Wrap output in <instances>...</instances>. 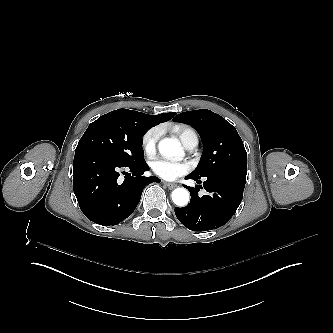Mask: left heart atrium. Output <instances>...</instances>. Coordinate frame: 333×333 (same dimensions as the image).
Instances as JSON below:
<instances>
[{
	"instance_id": "39dd6f15",
	"label": "left heart atrium",
	"mask_w": 333,
	"mask_h": 333,
	"mask_svg": "<svg viewBox=\"0 0 333 333\" xmlns=\"http://www.w3.org/2000/svg\"><path fill=\"white\" fill-rule=\"evenodd\" d=\"M190 170L191 166L188 162L158 160L153 166L155 174L167 180L177 179L189 173Z\"/></svg>"
}]
</instances>
